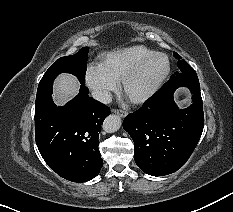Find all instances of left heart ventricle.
I'll return each instance as SVG.
<instances>
[{"label":"left heart ventricle","instance_id":"obj_1","mask_svg":"<svg viewBox=\"0 0 233 212\" xmlns=\"http://www.w3.org/2000/svg\"><path fill=\"white\" fill-rule=\"evenodd\" d=\"M166 60L163 57L152 59L130 83L128 92L136 96L148 90L166 70Z\"/></svg>","mask_w":233,"mask_h":212}]
</instances>
